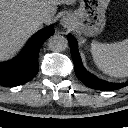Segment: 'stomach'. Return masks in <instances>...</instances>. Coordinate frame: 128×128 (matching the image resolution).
<instances>
[{
  "mask_svg": "<svg viewBox=\"0 0 128 128\" xmlns=\"http://www.w3.org/2000/svg\"><path fill=\"white\" fill-rule=\"evenodd\" d=\"M110 0H80L79 8L70 16L72 27L86 36H97L106 24L105 12Z\"/></svg>",
  "mask_w": 128,
  "mask_h": 128,
  "instance_id": "0dacf381",
  "label": "stomach"
}]
</instances>
